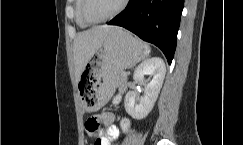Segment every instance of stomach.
I'll return each instance as SVG.
<instances>
[{
	"label": "stomach",
	"mask_w": 243,
	"mask_h": 145,
	"mask_svg": "<svg viewBox=\"0 0 243 145\" xmlns=\"http://www.w3.org/2000/svg\"><path fill=\"white\" fill-rule=\"evenodd\" d=\"M150 53V47L119 29L108 35L90 60L79 81L78 102H83L84 113H95L111 98L118 86V76L135 66Z\"/></svg>",
	"instance_id": "obj_1"
}]
</instances>
